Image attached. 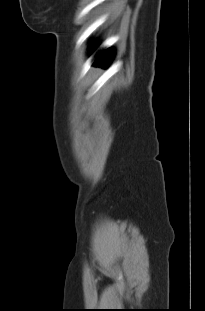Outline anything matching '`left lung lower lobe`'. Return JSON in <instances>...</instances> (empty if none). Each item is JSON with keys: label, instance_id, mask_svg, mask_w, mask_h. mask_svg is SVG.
I'll list each match as a JSON object with an SVG mask.
<instances>
[{"label": "left lung lower lobe", "instance_id": "obj_1", "mask_svg": "<svg viewBox=\"0 0 205 311\" xmlns=\"http://www.w3.org/2000/svg\"><path fill=\"white\" fill-rule=\"evenodd\" d=\"M113 57V52L108 49L102 52L93 63L94 66L106 68Z\"/></svg>", "mask_w": 205, "mask_h": 311}]
</instances>
